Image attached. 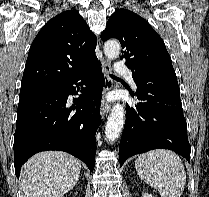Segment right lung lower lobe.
<instances>
[{
    "instance_id": "right-lung-lower-lobe-1",
    "label": "right lung lower lobe",
    "mask_w": 209,
    "mask_h": 197,
    "mask_svg": "<svg viewBox=\"0 0 209 197\" xmlns=\"http://www.w3.org/2000/svg\"><path fill=\"white\" fill-rule=\"evenodd\" d=\"M104 81L101 64L96 61L56 87L20 98L13 146L17 177L32 155L46 150L70 153L94 170ZM73 84L86 87L68 107V96L78 94Z\"/></svg>"
}]
</instances>
